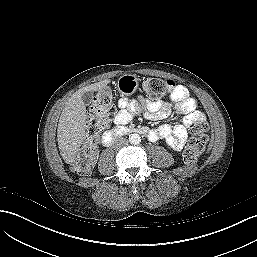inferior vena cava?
<instances>
[{
  "label": "inferior vena cava",
  "instance_id": "602c4592",
  "mask_svg": "<svg viewBox=\"0 0 257 257\" xmlns=\"http://www.w3.org/2000/svg\"><path fill=\"white\" fill-rule=\"evenodd\" d=\"M128 144V140L124 137H119L115 140L113 144L114 149H120Z\"/></svg>",
  "mask_w": 257,
  "mask_h": 257
}]
</instances>
